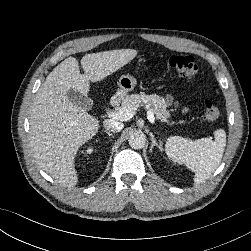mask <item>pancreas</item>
Listing matches in <instances>:
<instances>
[{"instance_id": "pancreas-1", "label": "pancreas", "mask_w": 251, "mask_h": 251, "mask_svg": "<svg viewBox=\"0 0 251 251\" xmlns=\"http://www.w3.org/2000/svg\"><path fill=\"white\" fill-rule=\"evenodd\" d=\"M145 105L146 108H149L156 118L162 122H168L167 118L170 117V113L167 110V103L164 98L151 94L147 95L145 93L132 94L123 98L121 106L119 108L134 107V111L137 110L139 106Z\"/></svg>"}]
</instances>
